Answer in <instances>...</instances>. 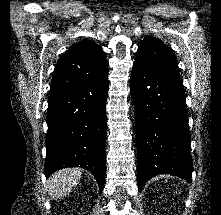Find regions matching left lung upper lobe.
Listing matches in <instances>:
<instances>
[{"instance_id":"left-lung-upper-lobe-1","label":"left lung upper lobe","mask_w":221,"mask_h":215,"mask_svg":"<svg viewBox=\"0 0 221 215\" xmlns=\"http://www.w3.org/2000/svg\"><path fill=\"white\" fill-rule=\"evenodd\" d=\"M135 62L180 78L177 62L171 49L155 37L148 36L141 42Z\"/></svg>"}]
</instances>
